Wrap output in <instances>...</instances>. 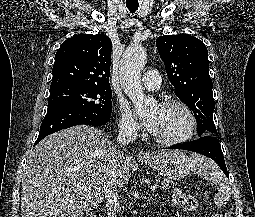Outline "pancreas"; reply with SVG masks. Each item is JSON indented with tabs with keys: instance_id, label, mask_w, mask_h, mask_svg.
Wrapping results in <instances>:
<instances>
[{
	"instance_id": "pancreas-1",
	"label": "pancreas",
	"mask_w": 255,
	"mask_h": 217,
	"mask_svg": "<svg viewBox=\"0 0 255 217\" xmlns=\"http://www.w3.org/2000/svg\"><path fill=\"white\" fill-rule=\"evenodd\" d=\"M170 184H172L171 180H163V181H161L162 188H165V187L169 186Z\"/></svg>"
}]
</instances>
